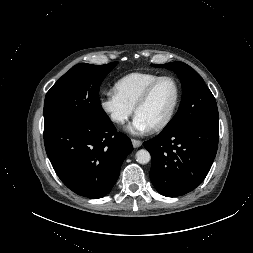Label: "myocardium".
Segmentation results:
<instances>
[{"mask_svg":"<svg viewBox=\"0 0 253 253\" xmlns=\"http://www.w3.org/2000/svg\"><path fill=\"white\" fill-rule=\"evenodd\" d=\"M166 79H169L174 83L176 88V96L168 116L161 123H159L157 126L151 129L153 132H159L165 129L174 119L181 101V86L179 81L172 75H162L158 77L148 85V87L144 90V92L142 93V95L140 96V98L138 99L137 103L134 106V114L137 115L139 109L148 102L157 85L161 81Z\"/></svg>","mask_w":253,"mask_h":253,"instance_id":"obj_1","label":"myocardium"}]
</instances>
